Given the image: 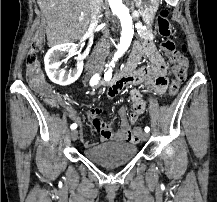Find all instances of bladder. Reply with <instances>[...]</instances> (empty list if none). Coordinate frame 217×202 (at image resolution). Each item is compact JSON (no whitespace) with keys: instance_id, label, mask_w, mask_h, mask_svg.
Returning a JSON list of instances; mask_svg holds the SVG:
<instances>
[{"instance_id":"obj_1","label":"bladder","mask_w":217,"mask_h":202,"mask_svg":"<svg viewBox=\"0 0 217 202\" xmlns=\"http://www.w3.org/2000/svg\"><path fill=\"white\" fill-rule=\"evenodd\" d=\"M87 159H92L102 166L124 164L137 154L136 146L132 143H108L93 149H85Z\"/></svg>"}]
</instances>
